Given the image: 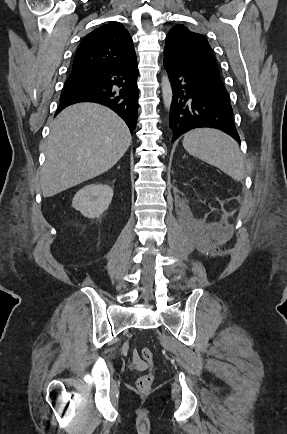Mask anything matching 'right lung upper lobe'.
<instances>
[{
	"instance_id": "obj_1",
	"label": "right lung upper lobe",
	"mask_w": 287,
	"mask_h": 434,
	"mask_svg": "<svg viewBox=\"0 0 287 434\" xmlns=\"http://www.w3.org/2000/svg\"><path fill=\"white\" fill-rule=\"evenodd\" d=\"M137 60L132 38L116 21L93 30L81 41L72 73L114 65H126Z\"/></svg>"
}]
</instances>
